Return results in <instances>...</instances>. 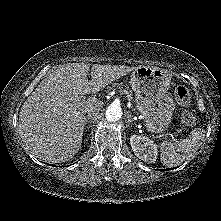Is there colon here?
<instances>
[{
  "label": "colon",
  "mask_w": 221,
  "mask_h": 221,
  "mask_svg": "<svg viewBox=\"0 0 221 221\" xmlns=\"http://www.w3.org/2000/svg\"><path fill=\"white\" fill-rule=\"evenodd\" d=\"M174 95L178 103L182 105H187L191 102V94L189 89L184 85H179L175 88ZM182 123L186 127H193L196 124V119L194 115L188 111L182 113Z\"/></svg>",
  "instance_id": "obj_1"
}]
</instances>
